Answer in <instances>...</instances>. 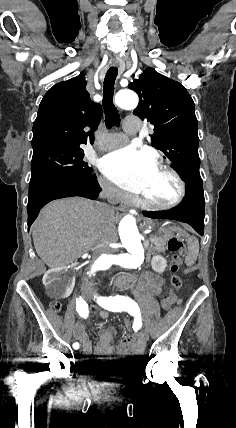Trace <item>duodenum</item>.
<instances>
[{
	"label": "duodenum",
	"instance_id": "410a0bca",
	"mask_svg": "<svg viewBox=\"0 0 236 428\" xmlns=\"http://www.w3.org/2000/svg\"><path fill=\"white\" fill-rule=\"evenodd\" d=\"M136 279L137 278L134 275L128 274V275H124V276L120 277L119 280H120L121 285H126V284H129V283L135 281Z\"/></svg>",
	"mask_w": 236,
	"mask_h": 428
}]
</instances>
